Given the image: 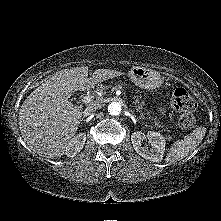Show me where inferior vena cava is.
Segmentation results:
<instances>
[{
    "label": "inferior vena cava",
    "mask_w": 221,
    "mask_h": 221,
    "mask_svg": "<svg viewBox=\"0 0 221 221\" xmlns=\"http://www.w3.org/2000/svg\"><path fill=\"white\" fill-rule=\"evenodd\" d=\"M102 107H103V103L101 101H94L86 107L85 111L87 113H91V112L97 111L98 109Z\"/></svg>",
    "instance_id": "obj_1"
}]
</instances>
